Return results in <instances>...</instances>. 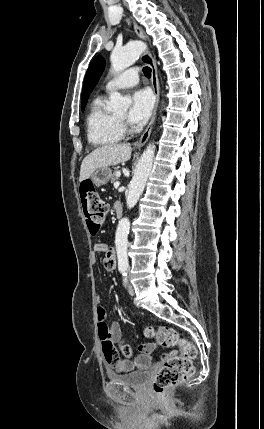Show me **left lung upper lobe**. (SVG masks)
I'll use <instances>...</instances> for the list:
<instances>
[{"mask_svg":"<svg viewBox=\"0 0 264 429\" xmlns=\"http://www.w3.org/2000/svg\"><path fill=\"white\" fill-rule=\"evenodd\" d=\"M105 67L104 59L99 55L96 56L91 62L85 76L83 91H82V111H84L85 106L88 101V97L92 92L93 88L97 84L102 71Z\"/></svg>","mask_w":264,"mask_h":429,"instance_id":"obj_1","label":"left lung upper lobe"}]
</instances>
